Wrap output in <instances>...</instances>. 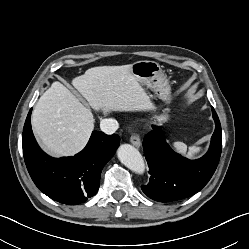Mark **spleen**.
<instances>
[{
	"instance_id": "3e777b00",
	"label": "spleen",
	"mask_w": 249,
	"mask_h": 249,
	"mask_svg": "<svg viewBox=\"0 0 249 249\" xmlns=\"http://www.w3.org/2000/svg\"><path fill=\"white\" fill-rule=\"evenodd\" d=\"M172 146L176 152L188 158L194 157L196 154H198L201 151V148L198 146L192 145L187 147V145L182 142H174Z\"/></svg>"
}]
</instances>
